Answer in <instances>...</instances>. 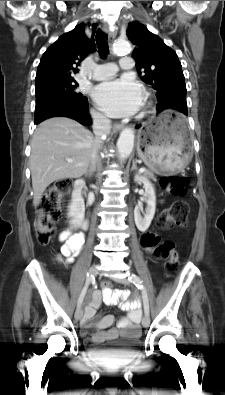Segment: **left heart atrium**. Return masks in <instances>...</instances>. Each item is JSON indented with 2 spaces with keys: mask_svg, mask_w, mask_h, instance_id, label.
Returning a JSON list of instances; mask_svg holds the SVG:
<instances>
[{
  "mask_svg": "<svg viewBox=\"0 0 225 395\" xmlns=\"http://www.w3.org/2000/svg\"><path fill=\"white\" fill-rule=\"evenodd\" d=\"M93 99L107 115L124 117L139 110L143 94L139 83L130 77H121L99 84Z\"/></svg>",
  "mask_w": 225,
  "mask_h": 395,
  "instance_id": "39dd6f15",
  "label": "left heart atrium"
}]
</instances>
